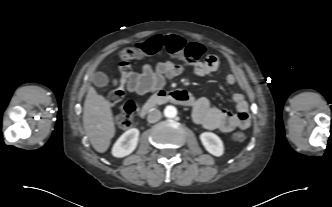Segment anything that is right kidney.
<instances>
[{"instance_id":"1","label":"right kidney","mask_w":332,"mask_h":207,"mask_svg":"<svg viewBox=\"0 0 332 207\" xmlns=\"http://www.w3.org/2000/svg\"><path fill=\"white\" fill-rule=\"evenodd\" d=\"M139 133L137 128L129 129L123 133L113 145L112 155L122 158L131 154L137 147Z\"/></svg>"}]
</instances>
